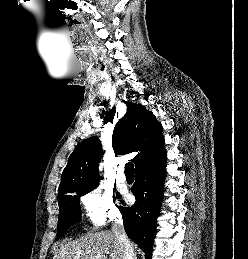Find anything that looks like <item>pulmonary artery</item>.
<instances>
[{
  "label": "pulmonary artery",
  "instance_id": "1",
  "mask_svg": "<svg viewBox=\"0 0 248 259\" xmlns=\"http://www.w3.org/2000/svg\"><path fill=\"white\" fill-rule=\"evenodd\" d=\"M116 180L119 183L126 182V175L124 174V167L123 166H120L118 168V172H117V175H116Z\"/></svg>",
  "mask_w": 248,
  "mask_h": 259
}]
</instances>
